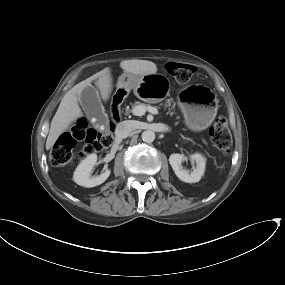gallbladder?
Listing matches in <instances>:
<instances>
[{
    "label": "gallbladder",
    "instance_id": "gallbladder-1",
    "mask_svg": "<svg viewBox=\"0 0 285 285\" xmlns=\"http://www.w3.org/2000/svg\"><path fill=\"white\" fill-rule=\"evenodd\" d=\"M80 104L89 120L95 119L96 124H106L108 116L101 103L98 91L92 86H86L80 95Z\"/></svg>",
    "mask_w": 285,
    "mask_h": 285
}]
</instances>
